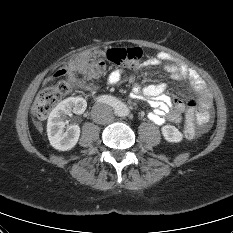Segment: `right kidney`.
I'll use <instances>...</instances> for the list:
<instances>
[{
    "label": "right kidney",
    "mask_w": 233,
    "mask_h": 233,
    "mask_svg": "<svg viewBox=\"0 0 233 233\" xmlns=\"http://www.w3.org/2000/svg\"><path fill=\"white\" fill-rule=\"evenodd\" d=\"M87 102L81 97H70L60 102L50 113L47 123L48 139L52 147L59 151L71 150L78 142L80 127L70 125L65 130V120L71 112L83 114Z\"/></svg>",
    "instance_id": "right-kidney-1"
}]
</instances>
